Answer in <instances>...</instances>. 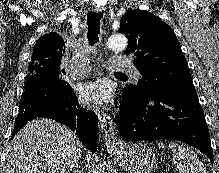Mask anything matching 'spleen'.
I'll list each match as a JSON object with an SVG mask.
<instances>
[{
  "label": "spleen",
  "mask_w": 219,
  "mask_h": 173,
  "mask_svg": "<svg viewBox=\"0 0 219 173\" xmlns=\"http://www.w3.org/2000/svg\"><path fill=\"white\" fill-rule=\"evenodd\" d=\"M158 145L164 148L162 142ZM169 148L173 152V163L178 173H207L203 163L189 147L170 142Z\"/></svg>",
  "instance_id": "spleen-1"
}]
</instances>
